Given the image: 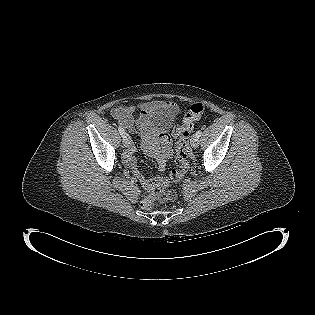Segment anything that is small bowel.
<instances>
[{"label": "small bowel", "mask_w": 315, "mask_h": 315, "mask_svg": "<svg viewBox=\"0 0 315 315\" xmlns=\"http://www.w3.org/2000/svg\"><path fill=\"white\" fill-rule=\"evenodd\" d=\"M156 111H166L172 118L181 112L177 103L167 100L142 102L138 105L119 104L112 108L111 115L120 125L140 136V145L143 151L153 156L160 170L164 172L167 160L171 156L172 137L166 130L149 128L148 119ZM136 113H138L137 117H135ZM124 161L146 191H150L152 184L161 179L159 177L149 179L139 171L134 148L128 150Z\"/></svg>", "instance_id": "small-bowel-1"}]
</instances>
